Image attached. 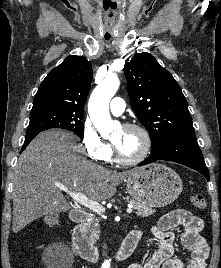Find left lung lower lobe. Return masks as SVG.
I'll use <instances>...</instances> for the list:
<instances>
[{
	"label": "left lung lower lobe",
	"mask_w": 221,
	"mask_h": 268,
	"mask_svg": "<svg viewBox=\"0 0 221 268\" xmlns=\"http://www.w3.org/2000/svg\"><path fill=\"white\" fill-rule=\"evenodd\" d=\"M157 160L173 161L186 165L197 170L209 180V172L195 134H182L171 138L162 144L159 149L151 151V155L139 163L138 166H143Z\"/></svg>",
	"instance_id": "1"
}]
</instances>
